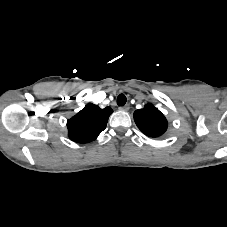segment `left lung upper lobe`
Listing matches in <instances>:
<instances>
[{
    "label": "left lung upper lobe",
    "mask_w": 227,
    "mask_h": 227,
    "mask_svg": "<svg viewBox=\"0 0 227 227\" xmlns=\"http://www.w3.org/2000/svg\"><path fill=\"white\" fill-rule=\"evenodd\" d=\"M134 120L138 128L149 137H158L167 130L165 116L152 104H146L143 109L134 112Z\"/></svg>",
    "instance_id": "left-lung-upper-lobe-1"
}]
</instances>
